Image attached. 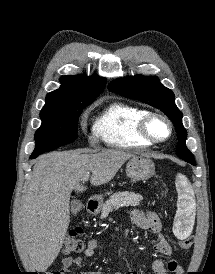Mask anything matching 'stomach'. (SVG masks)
Returning a JSON list of instances; mask_svg holds the SVG:
<instances>
[{
  "mask_svg": "<svg viewBox=\"0 0 215 274\" xmlns=\"http://www.w3.org/2000/svg\"><path fill=\"white\" fill-rule=\"evenodd\" d=\"M155 173V165L149 158L133 156L126 165V174L133 180L145 181Z\"/></svg>",
  "mask_w": 215,
  "mask_h": 274,
  "instance_id": "1",
  "label": "stomach"
}]
</instances>
